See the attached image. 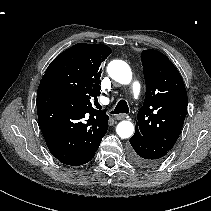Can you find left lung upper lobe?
Returning a JSON list of instances; mask_svg holds the SVG:
<instances>
[{
  "label": "left lung upper lobe",
  "instance_id": "5c2ea615",
  "mask_svg": "<svg viewBox=\"0 0 211 211\" xmlns=\"http://www.w3.org/2000/svg\"><path fill=\"white\" fill-rule=\"evenodd\" d=\"M146 96L138 112L135 132L170 151L187 114V92L176 67L161 52L141 54Z\"/></svg>",
  "mask_w": 211,
  "mask_h": 211
}]
</instances>
